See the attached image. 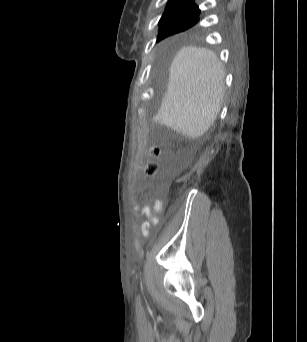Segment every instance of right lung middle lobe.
<instances>
[{"instance_id": "dd1d6c3e", "label": "right lung middle lobe", "mask_w": 307, "mask_h": 342, "mask_svg": "<svg viewBox=\"0 0 307 342\" xmlns=\"http://www.w3.org/2000/svg\"><path fill=\"white\" fill-rule=\"evenodd\" d=\"M200 10H180L165 12L159 22L158 41L172 34L182 32L200 20Z\"/></svg>"}]
</instances>
